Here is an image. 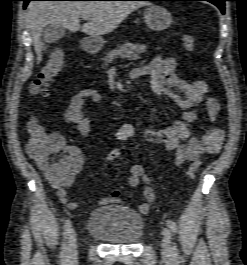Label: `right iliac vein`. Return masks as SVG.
<instances>
[{
    "label": "right iliac vein",
    "mask_w": 247,
    "mask_h": 265,
    "mask_svg": "<svg viewBox=\"0 0 247 265\" xmlns=\"http://www.w3.org/2000/svg\"><path fill=\"white\" fill-rule=\"evenodd\" d=\"M68 260L75 261L78 255V245H77V234L74 229H71L68 238Z\"/></svg>",
    "instance_id": "obj_1"
}]
</instances>
